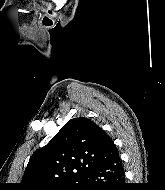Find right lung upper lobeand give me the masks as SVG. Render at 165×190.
<instances>
[{
    "mask_svg": "<svg viewBox=\"0 0 165 190\" xmlns=\"http://www.w3.org/2000/svg\"><path fill=\"white\" fill-rule=\"evenodd\" d=\"M118 153L112 139L94 122L69 120L27 165L20 190H55L81 183L82 175Z\"/></svg>",
    "mask_w": 165,
    "mask_h": 190,
    "instance_id": "cb5924a9",
    "label": "right lung upper lobe"
}]
</instances>
